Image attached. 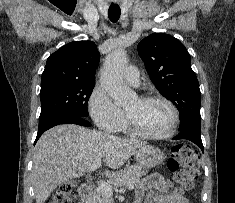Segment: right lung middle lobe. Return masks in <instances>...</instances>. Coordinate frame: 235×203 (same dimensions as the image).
<instances>
[{
  "mask_svg": "<svg viewBox=\"0 0 235 203\" xmlns=\"http://www.w3.org/2000/svg\"><path fill=\"white\" fill-rule=\"evenodd\" d=\"M94 82H56L41 86V114L39 121L60 114L88 117L87 103Z\"/></svg>",
  "mask_w": 235,
  "mask_h": 203,
  "instance_id": "dd1d6c3e",
  "label": "right lung middle lobe"
}]
</instances>
